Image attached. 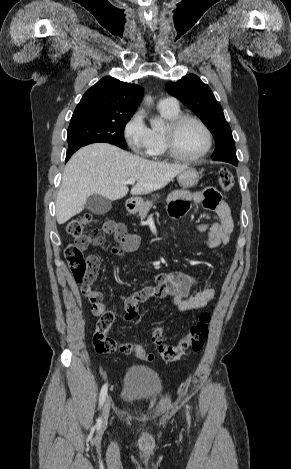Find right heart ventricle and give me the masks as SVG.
Listing matches in <instances>:
<instances>
[{
	"label": "right heart ventricle",
	"mask_w": 291,
	"mask_h": 469,
	"mask_svg": "<svg viewBox=\"0 0 291 469\" xmlns=\"http://www.w3.org/2000/svg\"><path fill=\"white\" fill-rule=\"evenodd\" d=\"M159 111L162 117L167 121H170L176 116L180 115L179 107L166 108L159 106ZM146 155L153 160H163L166 158L167 154L163 143L162 130L156 128L151 129V143L146 152Z\"/></svg>",
	"instance_id": "right-heart-ventricle-1"
}]
</instances>
